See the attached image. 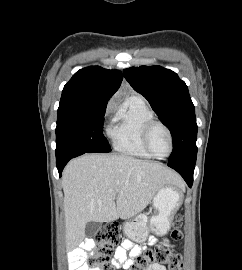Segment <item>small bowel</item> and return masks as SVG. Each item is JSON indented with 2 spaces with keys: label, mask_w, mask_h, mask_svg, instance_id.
<instances>
[{
  "label": "small bowel",
  "mask_w": 242,
  "mask_h": 270,
  "mask_svg": "<svg viewBox=\"0 0 242 270\" xmlns=\"http://www.w3.org/2000/svg\"><path fill=\"white\" fill-rule=\"evenodd\" d=\"M156 242V238L150 237L148 244L154 245ZM92 247L93 241L88 239L82 243L78 249L71 253L69 260L71 267L74 270H97L90 268L85 261L86 253L91 250ZM143 250L144 247L135 245L129 240H124L122 244L115 250L114 263L122 267H128L132 264L133 258L141 254ZM149 270H166V268L163 265L155 264L152 265Z\"/></svg>",
  "instance_id": "small-bowel-1"
}]
</instances>
